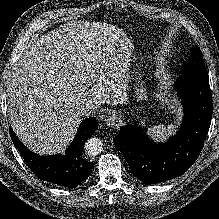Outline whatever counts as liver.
Segmentation results:
<instances>
[{
	"label": "liver",
	"instance_id": "liver-1",
	"mask_svg": "<svg viewBox=\"0 0 219 219\" xmlns=\"http://www.w3.org/2000/svg\"><path fill=\"white\" fill-rule=\"evenodd\" d=\"M122 31L101 22L71 21L34 41L17 59L8 81L11 126L39 154L63 152L82 117L78 104L94 110L126 100Z\"/></svg>",
	"mask_w": 219,
	"mask_h": 219
}]
</instances>
